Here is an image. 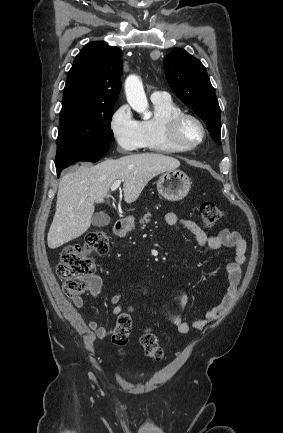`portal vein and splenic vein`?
I'll return each mask as SVG.
<instances>
[{"mask_svg": "<svg viewBox=\"0 0 283 433\" xmlns=\"http://www.w3.org/2000/svg\"><path fill=\"white\" fill-rule=\"evenodd\" d=\"M121 184V180L120 178H118V180H115V182H113L112 186H110L111 190H116V188H118V186H120Z\"/></svg>", "mask_w": 283, "mask_h": 433, "instance_id": "obj_1", "label": "portal vein and splenic vein"}]
</instances>
